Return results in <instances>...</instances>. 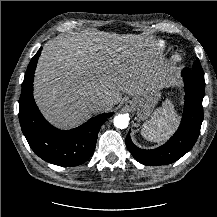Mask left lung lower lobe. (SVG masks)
Here are the masks:
<instances>
[{
	"label": "left lung lower lobe",
	"instance_id": "obj_1",
	"mask_svg": "<svg viewBox=\"0 0 217 217\" xmlns=\"http://www.w3.org/2000/svg\"><path fill=\"white\" fill-rule=\"evenodd\" d=\"M185 83L184 114L177 132L159 148L143 150L136 147L130 134L126 136V145L133 157L144 165L171 164L185 155L195 144L203 121V106L205 82L198 80L185 68L182 71Z\"/></svg>",
	"mask_w": 217,
	"mask_h": 217
}]
</instances>
